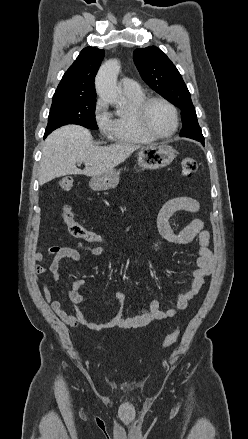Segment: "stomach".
<instances>
[{"mask_svg": "<svg viewBox=\"0 0 248 439\" xmlns=\"http://www.w3.org/2000/svg\"><path fill=\"white\" fill-rule=\"evenodd\" d=\"M176 150L166 143L142 146L138 151V165L143 169H160L172 163ZM119 183V172L110 170L91 178L89 185L93 190H109Z\"/></svg>", "mask_w": 248, "mask_h": 439, "instance_id": "stomach-1", "label": "stomach"}]
</instances>
